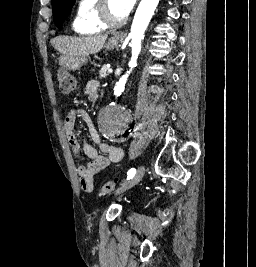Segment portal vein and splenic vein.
Masks as SVG:
<instances>
[{
  "mask_svg": "<svg viewBox=\"0 0 256 267\" xmlns=\"http://www.w3.org/2000/svg\"><path fill=\"white\" fill-rule=\"evenodd\" d=\"M113 71V68H109L108 73H111Z\"/></svg>",
  "mask_w": 256,
  "mask_h": 267,
  "instance_id": "portal-vein-and-splenic-vein-1",
  "label": "portal vein and splenic vein"
}]
</instances>
